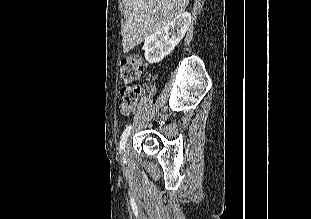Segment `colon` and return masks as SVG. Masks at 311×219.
<instances>
[{
  "mask_svg": "<svg viewBox=\"0 0 311 219\" xmlns=\"http://www.w3.org/2000/svg\"><path fill=\"white\" fill-rule=\"evenodd\" d=\"M145 73V64L137 55L124 57L119 64L120 81L123 84L121 95L123 105L125 107H134L141 95L142 87L140 85H132L131 83L137 80Z\"/></svg>",
  "mask_w": 311,
  "mask_h": 219,
  "instance_id": "5ec220e1",
  "label": "colon"
}]
</instances>
